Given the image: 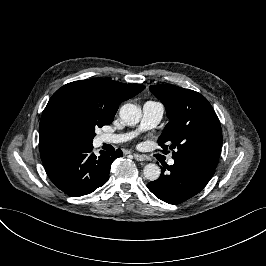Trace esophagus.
<instances>
[{"label": "esophagus", "instance_id": "34e87169", "mask_svg": "<svg viewBox=\"0 0 266 266\" xmlns=\"http://www.w3.org/2000/svg\"><path fill=\"white\" fill-rule=\"evenodd\" d=\"M134 158H135V160H137V161H145V160H146L145 155H143V154H139V153H135V154H134Z\"/></svg>", "mask_w": 266, "mask_h": 266}]
</instances>
